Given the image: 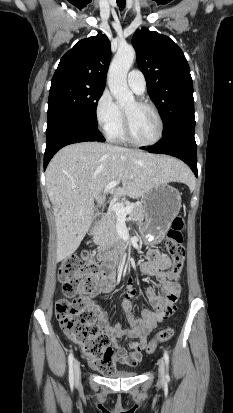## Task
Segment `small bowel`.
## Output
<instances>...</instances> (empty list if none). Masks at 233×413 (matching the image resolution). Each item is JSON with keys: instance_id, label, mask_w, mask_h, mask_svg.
I'll return each mask as SVG.
<instances>
[{"instance_id": "c3829d8e", "label": "small bowel", "mask_w": 233, "mask_h": 413, "mask_svg": "<svg viewBox=\"0 0 233 413\" xmlns=\"http://www.w3.org/2000/svg\"><path fill=\"white\" fill-rule=\"evenodd\" d=\"M170 265L171 261L165 254L158 250L149 252L148 261L141 265V271L145 274L155 275L161 282V290L155 288L146 290L152 309H143L141 316L137 317L133 313V305L130 300L134 296L135 290L131 285L128 286L126 300L123 302L129 326L127 329L122 328L120 324H111L107 312L93 299L94 296L101 293L113 291L116 285L113 273L102 278L91 296H86L87 304L97 316L102 332L109 337L114 347L115 361L131 367L137 366L142 360V351L146 346V339L150 331L174 312L175 308H171L169 303H178L180 285L176 281L177 278L168 277L167 269ZM124 337L135 340L129 346L130 352L119 344V339Z\"/></svg>"}]
</instances>
